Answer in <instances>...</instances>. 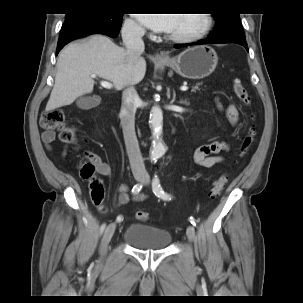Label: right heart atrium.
Here are the masks:
<instances>
[{
	"label": "right heart atrium",
	"instance_id": "d8ad5b80",
	"mask_svg": "<svg viewBox=\"0 0 303 303\" xmlns=\"http://www.w3.org/2000/svg\"><path fill=\"white\" fill-rule=\"evenodd\" d=\"M123 31L130 36L140 37L144 35V28L133 19H126L123 24Z\"/></svg>",
	"mask_w": 303,
	"mask_h": 303
}]
</instances>
